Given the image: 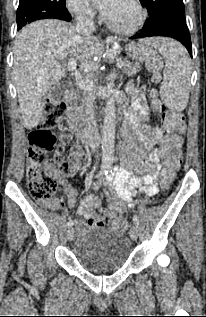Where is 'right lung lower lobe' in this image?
<instances>
[{"label": "right lung lower lobe", "mask_w": 206, "mask_h": 317, "mask_svg": "<svg viewBox=\"0 0 206 317\" xmlns=\"http://www.w3.org/2000/svg\"><path fill=\"white\" fill-rule=\"evenodd\" d=\"M59 16H60V17H58L57 19L66 20V21H70V20H71V16H70L69 12H68V14L63 15V16L59 14ZM19 29H20V28H18V30H19Z\"/></svg>", "instance_id": "1"}]
</instances>
